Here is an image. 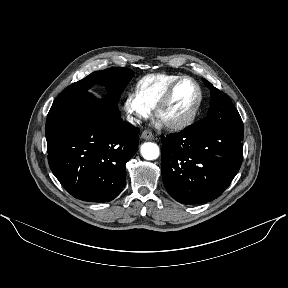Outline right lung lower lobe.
I'll use <instances>...</instances> for the list:
<instances>
[{
    "label": "right lung lower lobe",
    "mask_w": 288,
    "mask_h": 288,
    "mask_svg": "<svg viewBox=\"0 0 288 288\" xmlns=\"http://www.w3.org/2000/svg\"><path fill=\"white\" fill-rule=\"evenodd\" d=\"M140 130L89 92L51 108L46 120L49 166L75 198L108 202L126 182V163L138 148Z\"/></svg>",
    "instance_id": "obj_1"
}]
</instances>
